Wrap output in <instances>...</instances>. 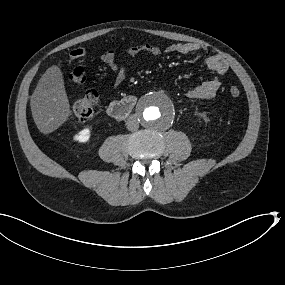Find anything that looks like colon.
Returning a JSON list of instances; mask_svg holds the SVG:
<instances>
[{"instance_id": "colon-1", "label": "colon", "mask_w": 285, "mask_h": 285, "mask_svg": "<svg viewBox=\"0 0 285 285\" xmlns=\"http://www.w3.org/2000/svg\"><path fill=\"white\" fill-rule=\"evenodd\" d=\"M86 54L84 47H77L73 49L69 54L70 61H75L82 58ZM70 79L78 84H84L87 81L86 71L82 66H75L70 72ZM229 93L232 97L237 98L240 96V89L236 86H232L229 89ZM99 96L96 90L89 89L86 93L74 102L71 113L74 117L80 120L89 119L94 112L97 105Z\"/></svg>"}]
</instances>
